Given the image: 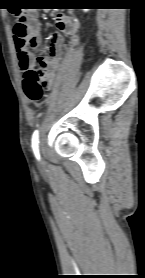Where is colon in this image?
Here are the masks:
<instances>
[{
	"instance_id": "obj_1",
	"label": "colon",
	"mask_w": 145,
	"mask_h": 278,
	"mask_svg": "<svg viewBox=\"0 0 145 278\" xmlns=\"http://www.w3.org/2000/svg\"><path fill=\"white\" fill-rule=\"evenodd\" d=\"M13 35L17 39L18 52H23L22 47L27 43L28 29L24 18H18L13 27ZM45 60L41 56L33 59V66L24 72L23 87L28 100L34 104H40L44 98Z\"/></svg>"
}]
</instances>
